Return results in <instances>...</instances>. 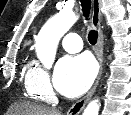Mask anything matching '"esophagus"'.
<instances>
[{
	"label": "esophagus",
	"instance_id": "esophagus-1",
	"mask_svg": "<svg viewBox=\"0 0 131 115\" xmlns=\"http://www.w3.org/2000/svg\"><path fill=\"white\" fill-rule=\"evenodd\" d=\"M92 25L98 31V39L95 48V55L99 62V74L90 91L82 99H80L79 101H77L72 105V107L67 111V115H78L84 109V107L91 99L92 95L94 94L102 75L104 39H103V32L101 26V0H93Z\"/></svg>",
	"mask_w": 131,
	"mask_h": 115
}]
</instances>
